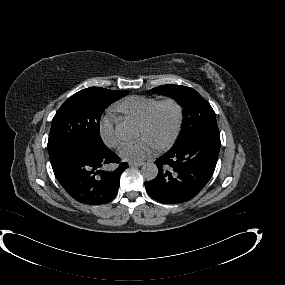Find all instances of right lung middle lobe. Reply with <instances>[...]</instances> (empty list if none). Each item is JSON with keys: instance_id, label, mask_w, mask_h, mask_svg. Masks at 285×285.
I'll use <instances>...</instances> for the list:
<instances>
[{"instance_id": "1", "label": "right lung middle lobe", "mask_w": 285, "mask_h": 285, "mask_svg": "<svg viewBox=\"0 0 285 285\" xmlns=\"http://www.w3.org/2000/svg\"><path fill=\"white\" fill-rule=\"evenodd\" d=\"M128 93L90 87L69 97L52 120L47 145L50 158L69 147L95 154L106 152L108 148L100 137V117L111 103Z\"/></svg>"}]
</instances>
